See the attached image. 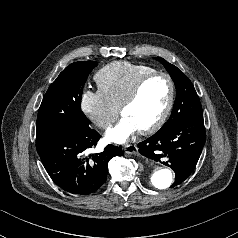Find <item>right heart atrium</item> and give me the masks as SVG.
<instances>
[{
  "mask_svg": "<svg viewBox=\"0 0 238 238\" xmlns=\"http://www.w3.org/2000/svg\"><path fill=\"white\" fill-rule=\"evenodd\" d=\"M81 109L98 128L105 129L115 120L118 110L99 90H86L81 96Z\"/></svg>",
  "mask_w": 238,
  "mask_h": 238,
  "instance_id": "d8ad5b80",
  "label": "right heart atrium"
}]
</instances>
